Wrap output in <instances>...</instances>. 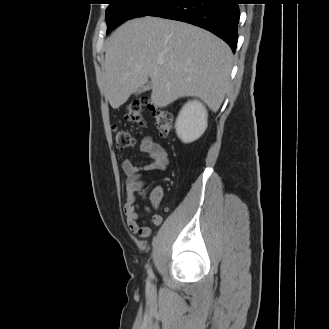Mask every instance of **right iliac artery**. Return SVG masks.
I'll use <instances>...</instances> for the list:
<instances>
[{"label": "right iliac artery", "mask_w": 329, "mask_h": 329, "mask_svg": "<svg viewBox=\"0 0 329 329\" xmlns=\"http://www.w3.org/2000/svg\"><path fill=\"white\" fill-rule=\"evenodd\" d=\"M148 276H149V278H153V272H152V269L149 267L148 268Z\"/></svg>", "instance_id": "right-iliac-artery-1"}]
</instances>
